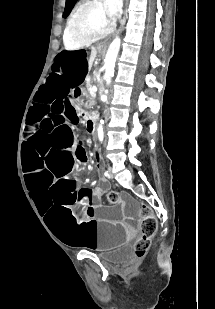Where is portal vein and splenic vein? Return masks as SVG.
Wrapping results in <instances>:
<instances>
[{
    "label": "portal vein and splenic vein",
    "mask_w": 215,
    "mask_h": 309,
    "mask_svg": "<svg viewBox=\"0 0 215 309\" xmlns=\"http://www.w3.org/2000/svg\"><path fill=\"white\" fill-rule=\"evenodd\" d=\"M96 90H97V86H92L90 90V94H95Z\"/></svg>",
    "instance_id": "obj_1"
}]
</instances>
